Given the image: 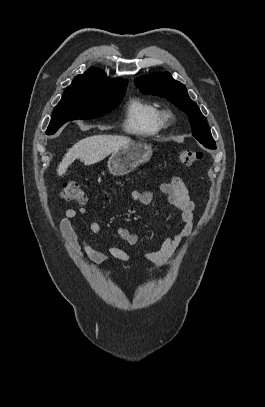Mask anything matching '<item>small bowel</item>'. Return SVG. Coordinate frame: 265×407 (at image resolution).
Listing matches in <instances>:
<instances>
[{
    "label": "small bowel",
    "instance_id": "obj_1",
    "mask_svg": "<svg viewBox=\"0 0 265 407\" xmlns=\"http://www.w3.org/2000/svg\"><path fill=\"white\" fill-rule=\"evenodd\" d=\"M159 190L166 196L169 206L181 213L182 227L166 237L158 250L143 254L145 260L157 267L163 266L169 260L181 240L191 235L194 227V203L189 197L184 182L180 178L174 177L170 181L160 183ZM131 196L135 201L143 205H148L153 200V193L149 190L135 189L132 191ZM78 214L86 215L87 210L85 208H80L78 211L67 209L60 222L62 237L77 258L83 259L86 256L90 260V265L94 268L106 263L110 258L122 261L130 259V255L119 248L105 246L104 250L100 251L92 247L86 239L80 238L73 225V220ZM89 228L93 234H98L101 231V225L97 221H92ZM117 234L120 239L130 245L139 243V236L126 227L117 228Z\"/></svg>",
    "mask_w": 265,
    "mask_h": 407
}]
</instances>
